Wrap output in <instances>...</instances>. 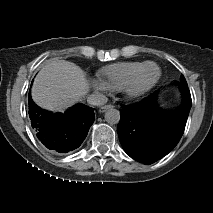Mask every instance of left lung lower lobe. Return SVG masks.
<instances>
[{"mask_svg": "<svg viewBox=\"0 0 213 213\" xmlns=\"http://www.w3.org/2000/svg\"><path fill=\"white\" fill-rule=\"evenodd\" d=\"M182 106L166 112L157 105L158 91L138 104L123 106L117 127L124 151L133 159L151 164L167 155L179 142L192 105L187 82L177 83Z\"/></svg>", "mask_w": 213, "mask_h": 213, "instance_id": "obj_1", "label": "left lung lower lobe"}]
</instances>
